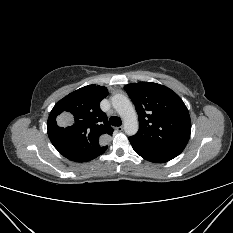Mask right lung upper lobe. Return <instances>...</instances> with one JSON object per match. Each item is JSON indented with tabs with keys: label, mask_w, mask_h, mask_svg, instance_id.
Wrapping results in <instances>:
<instances>
[{
	"label": "right lung upper lobe",
	"mask_w": 233,
	"mask_h": 233,
	"mask_svg": "<svg viewBox=\"0 0 233 233\" xmlns=\"http://www.w3.org/2000/svg\"><path fill=\"white\" fill-rule=\"evenodd\" d=\"M107 94L104 86L88 85L53 107L47 123L48 136L64 157L86 162L106 151L113 128L99 105Z\"/></svg>",
	"instance_id": "obj_1"
}]
</instances>
